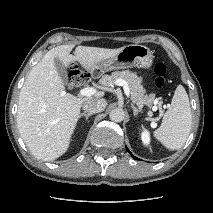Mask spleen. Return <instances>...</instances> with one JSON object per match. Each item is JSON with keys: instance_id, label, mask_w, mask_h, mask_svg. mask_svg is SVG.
<instances>
[{"instance_id": "spleen-1", "label": "spleen", "mask_w": 213, "mask_h": 213, "mask_svg": "<svg viewBox=\"0 0 213 213\" xmlns=\"http://www.w3.org/2000/svg\"><path fill=\"white\" fill-rule=\"evenodd\" d=\"M192 124V114L186 90L179 85L154 137L169 150H178L186 142Z\"/></svg>"}]
</instances>
